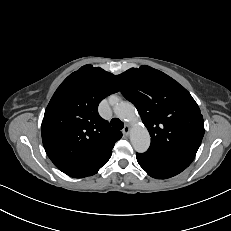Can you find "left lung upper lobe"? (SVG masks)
<instances>
[{"instance_id": "1", "label": "left lung upper lobe", "mask_w": 231, "mask_h": 231, "mask_svg": "<svg viewBox=\"0 0 231 231\" xmlns=\"http://www.w3.org/2000/svg\"><path fill=\"white\" fill-rule=\"evenodd\" d=\"M116 79L151 136L145 154L191 164L204 136V121L190 93L165 73L141 66Z\"/></svg>"}]
</instances>
